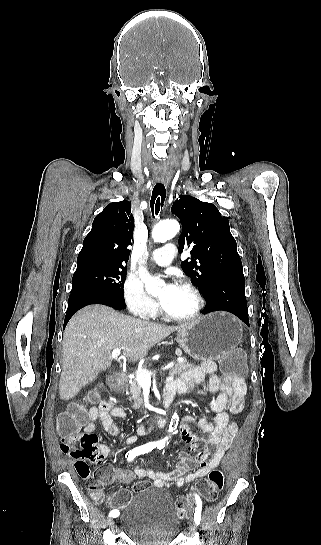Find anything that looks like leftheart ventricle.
<instances>
[{"label": "left heart ventricle", "mask_w": 321, "mask_h": 545, "mask_svg": "<svg viewBox=\"0 0 321 545\" xmlns=\"http://www.w3.org/2000/svg\"><path fill=\"white\" fill-rule=\"evenodd\" d=\"M195 307V296L189 290L178 286L173 296L168 300L163 308L171 314L189 315L195 310Z\"/></svg>", "instance_id": "b2bd125f"}]
</instances>
